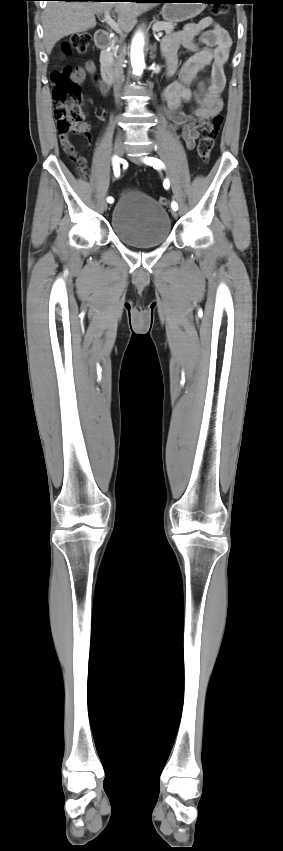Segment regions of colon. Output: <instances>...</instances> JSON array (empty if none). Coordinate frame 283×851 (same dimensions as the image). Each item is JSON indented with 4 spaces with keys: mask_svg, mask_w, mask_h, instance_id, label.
I'll return each mask as SVG.
<instances>
[{
    "mask_svg": "<svg viewBox=\"0 0 283 851\" xmlns=\"http://www.w3.org/2000/svg\"><path fill=\"white\" fill-rule=\"evenodd\" d=\"M227 12L228 7L224 5H216L212 8V13L216 16L225 15ZM90 42V35L86 32L72 34L63 43L61 54L62 56H67L73 51L80 54L85 53ZM51 80L55 98L53 115L59 136L68 137L70 133L88 135L89 124L82 110V94L79 84L72 79L71 68L64 67L53 71L51 73ZM223 121L224 117L221 114V110H219L210 116L208 121L202 126V135L197 145V153L204 162L210 158ZM75 163L77 173L81 176H86V167L83 162L75 160ZM159 202L162 205H167L168 199L162 196L159 198Z\"/></svg>",
    "mask_w": 283,
    "mask_h": 851,
    "instance_id": "5ec220e1",
    "label": "colon"
}]
</instances>
